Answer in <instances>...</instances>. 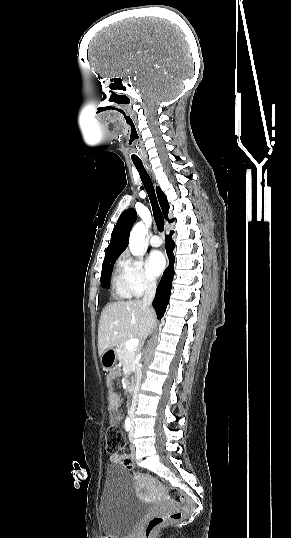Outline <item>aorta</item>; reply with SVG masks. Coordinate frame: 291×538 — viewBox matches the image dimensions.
<instances>
[{"instance_id": "obj_1", "label": "aorta", "mask_w": 291, "mask_h": 538, "mask_svg": "<svg viewBox=\"0 0 291 538\" xmlns=\"http://www.w3.org/2000/svg\"><path fill=\"white\" fill-rule=\"evenodd\" d=\"M146 229L142 222L135 224L129 237V248L132 254L140 256L144 252Z\"/></svg>"}]
</instances>
